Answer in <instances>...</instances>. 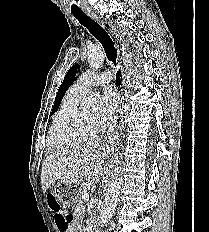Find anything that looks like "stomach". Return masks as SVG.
Returning a JSON list of instances; mask_svg holds the SVG:
<instances>
[{
	"mask_svg": "<svg viewBox=\"0 0 209 232\" xmlns=\"http://www.w3.org/2000/svg\"><path fill=\"white\" fill-rule=\"evenodd\" d=\"M83 186L80 182H57L55 186L54 196L57 203L62 205H72L77 203V199H81Z\"/></svg>",
	"mask_w": 209,
	"mask_h": 232,
	"instance_id": "stomach-1",
	"label": "stomach"
}]
</instances>
